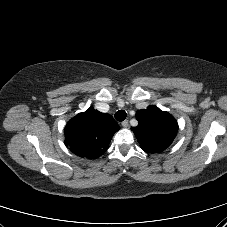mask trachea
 I'll return each mask as SVG.
<instances>
[{"label": "trachea", "mask_w": 227, "mask_h": 227, "mask_svg": "<svg viewBox=\"0 0 227 227\" xmlns=\"http://www.w3.org/2000/svg\"><path fill=\"white\" fill-rule=\"evenodd\" d=\"M126 116H127V114H126V112L124 110H119V111H117L115 113V119L117 121H123V120H125Z\"/></svg>", "instance_id": "3493384b"}]
</instances>
